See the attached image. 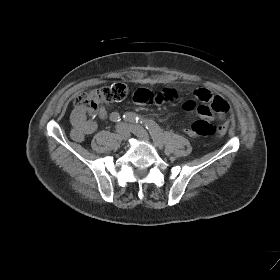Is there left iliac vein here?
Wrapping results in <instances>:
<instances>
[{
    "mask_svg": "<svg viewBox=\"0 0 280 280\" xmlns=\"http://www.w3.org/2000/svg\"><path fill=\"white\" fill-rule=\"evenodd\" d=\"M130 131L136 135L137 137H139L140 139L144 140V141H149V134L148 132L141 126L139 125H135V124H130L128 125ZM161 145V142H158Z\"/></svg>",
    "mask_w": 280,
    "mask_h": 280,
    "instance_id": "4c4485c4",
    "label": "left iliac vein"
}]
</instances>
